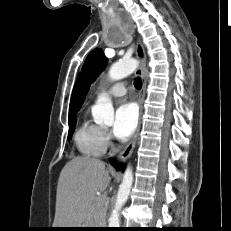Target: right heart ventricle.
<instances>
[{"label":"right heart ventricle","mask_w":231,"mask_h":231,"mask_svg":"<svg viewBox=\"0 0 231 231\" xmlns=\"http://www.w3.org/2000/svg\"><path fill=\"white\" fill-rule=\"evenodd\" d=\"M74 142L78 151L87 157L103 155L107 144L104 139V130L85 117L79 124Z\"/></svg>","instance_id":"e07e8e85"}]
</instances>
